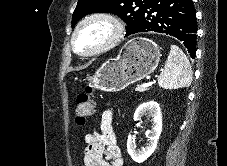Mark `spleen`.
<instances>
[{"mask_svg": "<svg viewBox=\"0 0 227 166\" xmlns=\"http://www.w3.org/2000/svg\"><path fill=\"white\" fill-rule=\"evenodd\" d=\"M192 69L188 57L176 45H171L163 72L158 84L164 89L189 87L192 82Z\"/></svg>", "mask_w": 227, "mask_h": 166, "instance_id": "1", "label": "spleen"}]
</instances>
